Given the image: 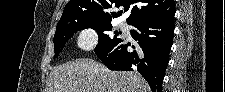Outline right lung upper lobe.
I'll use <instances>...</instances> for the list:
<instances>
[{
  "mask_svg": "<svg viewBox=\"0 0 225 92\" xmlns=\"http://www.w3.org/2000/svg\"><path fill=\"white\" fill-rule=\"evenodd\" d=\"M131 9L126 19L129 25L142 20L167 19L175 14L174 0H70L64 8L57 28L69 26L73 22H111ZM124 6V11L112 12L111 8Z\"/></svg>",
  "mask_w": 225,
  "mask_h": 92,
  "instance_id": "1",
  "label": "right lung upper lobe"
}]
</instances>
